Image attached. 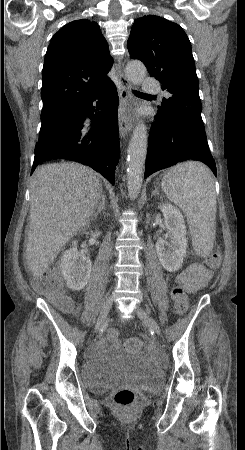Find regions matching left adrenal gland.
Here are the masks:
<instances>
[{"instance_id":"obj_1","label":"left adrenal gland","mask_w":245,"mask_h":450,"mask_svg":"<svg viewBox=\"0 0 245 450\" xmlns=\"http://www.w3.org/2000/svg\"><path fill=\"white\" fill-rule=\"evenodd\" d=\"M156 194H158V188L157 187H155V190L153 191L152 196H154Z\"/></svg>"}]
</instances>
